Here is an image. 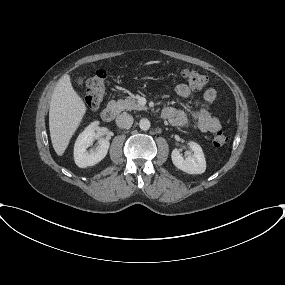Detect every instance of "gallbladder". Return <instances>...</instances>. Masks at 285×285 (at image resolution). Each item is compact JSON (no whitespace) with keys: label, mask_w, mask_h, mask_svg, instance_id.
Wrapping results in <instances>:
<instances>
[{"label":"gallbladder","mask_w":285,"mask_h":285,"mask_svg":"<svg viewBox=\"0 0 285 285\" xmlns=\"http://www.w3.org/2000/svg\"><path fill=\"white\" fill-rule=\"evenodd\" d=\"M78 86H81L83 84V79L81 77H79L76 81Z\"/></svg>","instance_id":"gallbladder-1"}]
</instances>
